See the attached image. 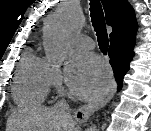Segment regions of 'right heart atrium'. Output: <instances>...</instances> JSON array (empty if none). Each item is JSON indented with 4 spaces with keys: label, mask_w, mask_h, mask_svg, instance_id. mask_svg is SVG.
<instances>
[{
    "label": "right heart atrium",
    "mask_w": 151,
    "mask_h": 131,
    "mask_svg": "<svg viewBox=\"0 0 151 131\" xmlns=\"http://www.w3.org/2000/svg\"><path fill=\"white\" fill-rule=\"evenodd\" d=\"M62 80V73L57 65L49 64V82L50 86L58 87Z\"/></svg>",
    "instance_id": "d8ad5b80"
}]
</instances>
